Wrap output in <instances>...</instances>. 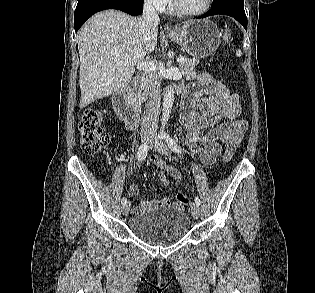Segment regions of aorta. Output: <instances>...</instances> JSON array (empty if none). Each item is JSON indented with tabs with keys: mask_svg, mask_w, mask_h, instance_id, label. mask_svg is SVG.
Wrapping results in <instances>:
<instances>
[{
	"mask_svg": "<svg viewBox=\"0 0 315 293\" xmlns=\"http://www.w3.org/2000/svg\"><path fill=\"white\" fill-rule=\"evenodd\" d=\"M173 101H174V91L172 87H168V89L166 90L165 94H164V99H163V108H162V125L163 127L165 126V124L167 123L169 117H170V113L172 110V106H173Z\"/></svg>",
	"mask_w": 315,
	"mask_h": 293,
	"instance_id": "1",
	"label": "aorta"
}]
</instances>
